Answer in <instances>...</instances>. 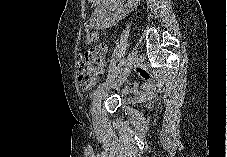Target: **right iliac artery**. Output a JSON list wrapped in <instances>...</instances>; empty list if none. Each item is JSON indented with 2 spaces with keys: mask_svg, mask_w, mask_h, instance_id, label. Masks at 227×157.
Here are the masks:
<instances>
[{
  "mask_svg": "<svg viewBox=\"0 0 227 157\" xmlns=\"http://www.w3.org/2000/svg\"><path fill=\"white\" fill-rule=\"evenodd\" d=\"M126 65H128V60H123V63L121 65H118V70H125ZM118 72V71H117ZM106 86V82L100 84L97 89L93 93V101L92 105L94 106L97 98L99 97L100 93L103 91L104 87ZM92 114H93V108H92Z\"/></svg>",
  "mask_w": 227,
  "mask_h": 157,
  "instance_id": "right-iliac-artery-1",
  "label": "right iliac artery"
}]
</instances>
